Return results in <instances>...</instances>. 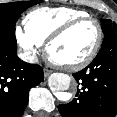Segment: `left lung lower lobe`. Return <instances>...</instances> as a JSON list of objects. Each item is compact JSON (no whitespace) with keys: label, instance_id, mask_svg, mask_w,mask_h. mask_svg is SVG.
Segmentation results:
<instances>
[{"label":"left lung lower lobe","instance_id":"obj_1","mask_svg":"<svg viewBox=\"0 0 117 117\" xmlns=\"http://www.w3.org/2000/svg\"><path fill=\"white\" fill-rule=\"evenodd\" d=\"M76 98L61 104L63 117H115L117 114V35L102 44L95 59L73 74Z\"/></svg>","mask_w":117,"mask_h":117}]
</instances>
